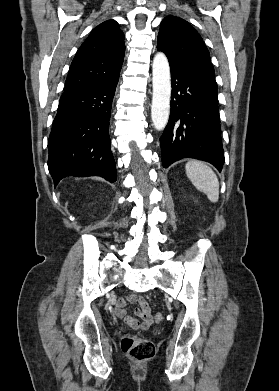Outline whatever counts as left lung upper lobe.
<instances>
[{
  "instance_id": "left-lung-upper-lobe-1",
  "label": "left lung upper lobe",
  "mask_w": 279,
  "mask_h": 391,
  "mask_svg": "<svg viewBox=\"0 0 279 391\" xmlns=\"http://www.w3.org/2000/svg\"><path fill=\"white\" fill-rule=\"evenodd\" d=\"M157 49L171 68L184 71L217 90L209 51L200 34L184 19L167 16L160 25Z\"/></svg>"
}]
</instances>
